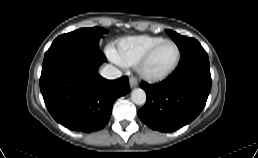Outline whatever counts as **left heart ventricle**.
<instances>
[{
	"label": "left heart ventricle",
	"instance_id": "b2bd125f",
	"mask_svg": "<svg viewBox=\"0 0 258 158\" xmlns=\"http://www.w3.org/2000/svg\"><path fill=\"white\" fill-rule=\"evenodd\" d=\"M176 58V49L171 43H164L158 47L149 59L146 69L154 74L161 73L170 67Z\"/></svg>",
	"mask_w": 258,
	"mask_h": 158
}]
</instances>
